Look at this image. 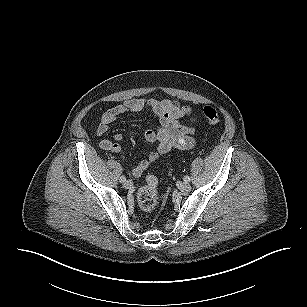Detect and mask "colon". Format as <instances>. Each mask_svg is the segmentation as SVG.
<instances>
[{"instance_id": "5ec220e1", "label": "colon", "mask_w": 307, "mask_h": 307, "mask_svg": "<svg viewBox=\"0 0 307 307\" xmlns=\"http://www.w3.org/2000/svg\"><path fill=\"white\" fill-rule=\"evenodd\" d=\"M203 113L210 125H215L220 120L219 113L213 106H205ZM159 200L158 181L155 176L149 175L146 177V183L137 193V202L143 211L152 212L157 208Z\"/></svg>"}]
</instances>
